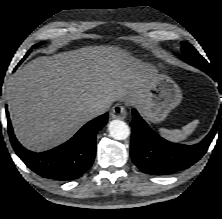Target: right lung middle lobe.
Returning a JSON list of instances; mask_svg holds the SVG:
<instances>
[{"mask_svg": "<svg viewBox=\"0 0 222 219\" xmlns=\"http://www.w3.org/2000/svg\"><path fill=\"white\" fill-rule=\"evenodd\" d=\"M41 44H42V42L34 45L33 48H36L37 46H39V45H41ZM30 51H31V50H30ZM30 51L28 52V54L30 53ZM24 59H25V57H24Z\"/></svg>", "mask_w": 222, "mask_h": 219, "instance_id": "dd1d6c3e", "label": "right lung middle lobe"}]
</instances>
